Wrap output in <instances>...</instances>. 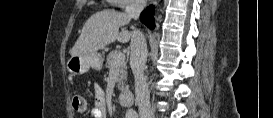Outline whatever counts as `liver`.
<instances>
[{"instance_id":"liver-1","label":"liver","mask_w":273,"mask_h":118,"mask_svg":"<svg viewBox=\"0 0 273 118\" xmlns=\"http://www.w3.org/2000/svg\"><path fill=\"white\" fill-rule=\"evenodd\" d=\"M130 20L131 17L128 14L114 10H102L93 14L84 24L82 32L71 50V55L97 52L116 40L119 42L129 41L131 33L127 30H122L119 33V28L127 25Z\"/></svg>"}]
</instances>
